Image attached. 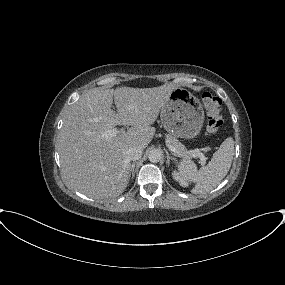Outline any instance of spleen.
Here are the masks:
<instances>
[{
	"label": "spleen",
	"instance_id": "obj_1",
	"mask_svg": "<svg viewBox=\"0 0 285 285\" xmlns=\"http://www.w3.org/2000/svg\"><path fill=\"white\" fill-rule=\"evenodd\" d=\"M234 155L233 138L228 137L213 154L211 161L206 166L197 170V166L190 160H183L178 165L181 176L194 182V194H204L218 186L227 175Z\"/></svg>",
	"mask_w": 285,
	"mask_h": 285
}]
</instances>
